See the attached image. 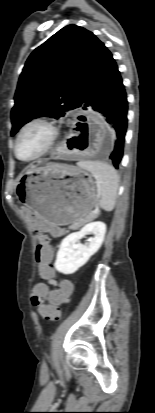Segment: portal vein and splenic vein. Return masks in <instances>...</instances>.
Listing matches in <instances>:
<instances>
[{"instance_id":"1","label":"portal vein and splenic vein","mask_w":155,"mask_h":413,"mask_svg":"<svg viewBox=\"0 0 155 413\" xmlns=\"http://www.w3.org/2000/svg\"><path fill=\"white\" fill-rule=\"evenodd\" d=\"M95 214H97L98 213V210H95V212H94Z\"/></svg>"}]
</instances>
